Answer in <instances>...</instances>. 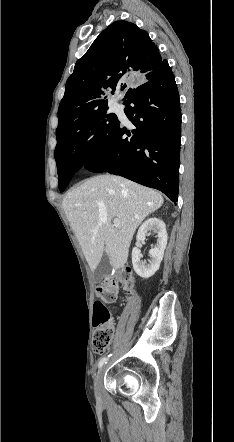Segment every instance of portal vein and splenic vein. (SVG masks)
<instances>
[{"label":"portal vein and splenic vein","instance_id":"portal-vein-and-splenic-vein-1","mask_svg":"<svg viewBox=\"0 0 234 442\" xmlns=\"http://www.w3.org/2000/svg\"><path fill=\"white\" fill-rule=\"evenodd\" d=\"M113 225H114L116 228H120V227L123 225V223H122L120 220H118L117 218H115V219L113 220Z\"/></svg>","mask_w":234,"mask_h":442}]
</instances>
